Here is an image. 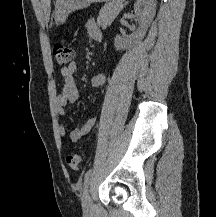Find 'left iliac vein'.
Masks as SVG:
<instances>
[{
	"label": "left iliac vein",
	"mask_w": 216,
	"mask_h": 217,
	"mask_svg": "<svg viewBox=\"0 0 216 217\" xmlns=\"http://www.w3.org/2000/svg\"><path fill=\"white\" fill-rule=\"evenodd\" d=\"M82 205H83L84 210L87 213L92 210V201H91L88 189L83 194Z\"/></svg>",
	"instance_id": "obj_1"
}]
</instances>
